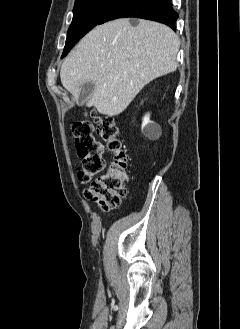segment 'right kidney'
<instances>
[{
	"label": "right kidney",
	"mask_w": 240,
	"mask_h": 329,
	"mask_svg": "<svg viewBox=\"0 0 240 329\" xmlns=\"http://www.w3.org/2000/svg\"><path fill=\"white\" fill-rule=\"evenodd\" d=\"M142 131L147 136H152L160 132V126L150 120V115L146 114L143 118Z\"/></svg>",
	"instance_id": "ca27d5eb"
}]
</instances>
